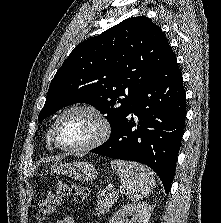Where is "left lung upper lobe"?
I'll return each mask as SVG.
<instances>
[{"mask_svg":"<svg viewBox=\"0 0 221 223\" xmlns=\"http://www.w3.org/2000/svg\"><path fill=\"white\" fill-rule=\"evenodd\" d=\"M169 47L161 28L146 16L128 18L81 42L52 79L38 120L85 102L106 114L112 135L134 97L162 67Z\"/></svg>","mask_w":221,"mask_h":223,"instance_id":"left-lung-upper-lobe-1","label":"left lung upper lobe"}]
</instances>
